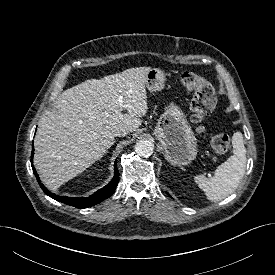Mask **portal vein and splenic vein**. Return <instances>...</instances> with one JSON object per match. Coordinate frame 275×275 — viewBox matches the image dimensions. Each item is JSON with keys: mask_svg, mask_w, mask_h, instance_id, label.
Returning <instances> with one entry per match:
<instances>
[{"mask_svg": "<svg viewBox=\"0 0 275 275\" xmlns=\"http://www.w3.org/2000/svg\"><path fill=\"white\" fill-rule=\"evenodd\" d=\"M118 100H119L120 106L124 108L125 106L123 105L122 97L120 96Z\"/></svg>", "mask_w": 275, "mask_h": 275, "instance_id": "portal-vein-and-splenic-vein-1", "label": "portal vein and splenic vein"}]
</instances>
